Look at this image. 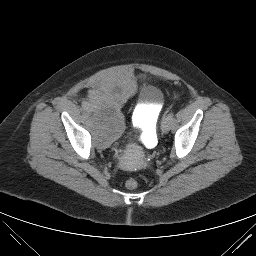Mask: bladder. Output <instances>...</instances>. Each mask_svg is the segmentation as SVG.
Returning a JSON list of instances; mask_svg holds the SVG:
<instances>
[{"mask_svg":"<svg viewBox=\"0 0 256 256\" xmlns=\"http://www.w3.org/2000/svg\"><path fill=\"white\" fill-rule=\"evenodd\" d=\"M135 88L134 80L125 76L111 75L96 83L87 99L86 110L98 146L108 147L122 136L125 122L121 107L133 95ZM141 99L137 125L143 134L150 136L154 132L164 96L158 87L147 85L141 89Z\"/></svg>","mask_w":256,"mask_h":256,"instance_id":"1","label":"bladder"}]
</instances>
